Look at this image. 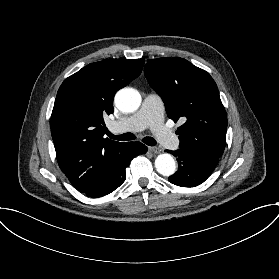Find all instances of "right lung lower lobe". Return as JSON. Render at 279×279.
Returning a JSON list of instances; mask_svg holds the SVG:
<instances>
[{
  "instance_id": "right-lung-lower-lobe-1",
  "label": "right lung lower lobe",
  "mask_w": 279,
  "mask_h": 279,
  "mask_svg": "<svg viewBox=\"0 0 279 279\" xmlns=\"http://www.w3.org/2000/svg\"><path fill=\"white\" fill-rule=\"evenodd\" d=\"M147 147L140 142H132L125 148V153L110 171V173L90 192L84 193L89 197L98 198L113 192L125 180V169L129 166L130 161L138 154H144Z\"/></svg>"
}]
</instances>
